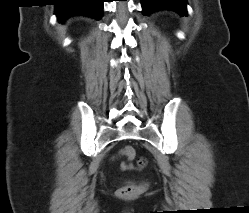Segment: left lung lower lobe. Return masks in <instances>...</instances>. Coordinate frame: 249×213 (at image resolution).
<instances>
[{
  "label": "left lung lower lobe",
  "instance_id": "0a47b994",
  "mask_svg": "<svg viewBox=\"0 0 249 213\" xmlns=\"http://www.w3.org/2000/svg\"><path fill=\"white\" fill-rule=\"evenodd\" d=\"M143 14L148 15L159 9H172L186 15V0H141Z\"/></svg>",
  "mask_w": 249,
  "mask_h": 213
}]
</instances>
